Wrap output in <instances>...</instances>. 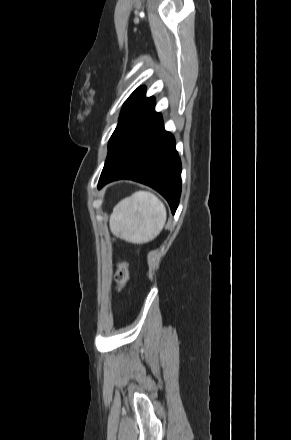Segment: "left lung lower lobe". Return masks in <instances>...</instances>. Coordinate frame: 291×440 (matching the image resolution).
Segmentation results:
<instances>
[{
	"label": "left lung lower lobe",
	"mask_w": 291,
	"mask_h": 440,
	"mask_svg": "<svg viewBox=\"0 0 291 440\" xmlns=\"http://www.w3.org/2000/svg\"><path fill=\"white\" fill-rule=\"evenodd\" d=\"M155 102L136 117L110 146L98 189L130 179L146 184L168 201L174 214L181 194V161L174 137L165 131Z\"/></svg>",
	"instance_id": "obj_1"
}]
</instances>
